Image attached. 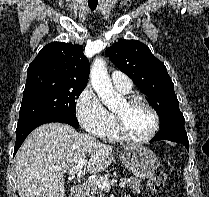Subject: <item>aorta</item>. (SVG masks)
<instances>
[{
  "label": "aorta",
  "mask_w": 209,
  "mask_h": 197,
  "mask_svg": "<svg viewBox=\"0 0 209 197\" xmlns=\"http://www.w3.org/2000/svg\"><path fill=\"white\" fill-rule=\"evenodd\" d=\"M90 78L93 89L108 108H114L120 104L121 96L112 86L103 58L94 60L90 69Z\"/></svg>",
  "instance_id": "obj_1"
}]
</instances>
